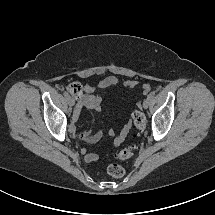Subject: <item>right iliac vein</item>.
<instances>
[{
    "label": "right iliac vein",
    "instance_id": "63e3f726",
    "mask_svg": "<svg viewBox=\"0 0 215 215\" xmlns=\"http://www.w3.org/2000/svg\"><path fill=\"white\" fill-rule=\"evenodd\" d=\"M68 104H69L70 106H74V105H75L74 99L71 98V97H69V98H68Z\"/></svg>",
    "mask_w": 215,
    "mask_h": 215
}]
</instances>
